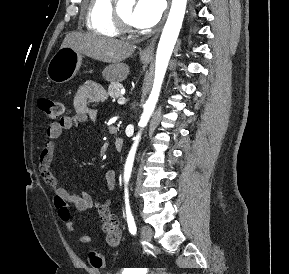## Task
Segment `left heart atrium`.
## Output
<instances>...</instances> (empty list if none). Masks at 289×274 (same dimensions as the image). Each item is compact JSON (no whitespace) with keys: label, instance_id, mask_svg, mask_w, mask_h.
I'll return each mask as SVG.
<instances>
[{"label":"left heart atrium","instance_id":"1","mask_svg":"<svg viewBox=\"0 0 289 274\" xmlns=\"http://www.w3.org/2000/svg\"><path fill=\"white\" fill-rule=\"evenodd\" d=\"M163 11V0H138L134 6L130 22L138 28L155 25Z\"/></svg>","mask_w":289,"mask_h":274}]
</instances>
